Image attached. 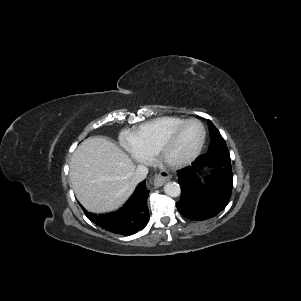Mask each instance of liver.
Masks as SVG:
<instances>
[{
    "label": "liver",
    "instance_id": "obj_1",
    "mask_svg": "<svg viewBox=\"0 0 301 301\" xmlns=\"http://www.w3.org/2000/svg\"><path fill=\"white\" fill-rule=\"evenodd\" d=\"M69 167L77 199L94 213L118 209L136 187L132 182L135 172L132 160L105 138L84 140L74 151Z\"/></svg>",
    "mask_w": 301,
    "mask_h": 301
}]
</instances>
